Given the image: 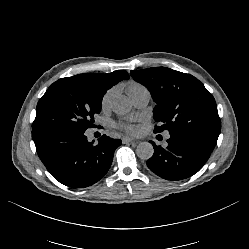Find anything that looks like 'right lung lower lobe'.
I'll use <instances>...</instances> for the list:
<instances>
[{"mask_svg":"<svg viewBox=\"0 0 249 249\" xmlns=\"http://www.w3.org/2000/svg\"><path fill=\"white\" fill-rule=\"evenodd\" d=\"M86 131V130H85ZM84 130L32 129L37 153L50 174L60 183L82 188L99 181L109 170L120 139L102 135L89 142Z\"/></svg>","mask_w":249,"mask_h":249,"instance_id":"1","label":"right lung lower lobe"}]
</instances>
